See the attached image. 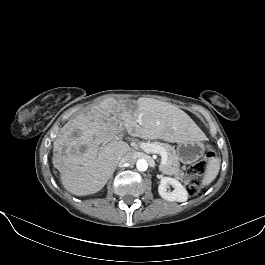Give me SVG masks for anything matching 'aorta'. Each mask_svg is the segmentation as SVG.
<instances>
[{"mask_svg": "<svg viewBox=\"0 0 265 265\" xmlns=\"http://www.w3.org/2000/svg\"><path fill=\"white\" fill-rule=\"evenodd\" d=\"M136 168L143 172L148 169V162L144 158H140L136 161Z\"/></svg>", "mask_w": 265, "mask_h": 265, "instance_id": "1", "label": "aorta"}]
</instances>
